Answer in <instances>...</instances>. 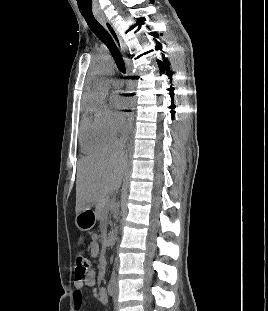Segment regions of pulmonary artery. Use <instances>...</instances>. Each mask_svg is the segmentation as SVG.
I'll list each match as a JSON object with an SVG mask.
<instances>
[{"label":"pulmonary artery","instance_id":"1","mask_svg":"<svg viewBox=\"0 0 268 311\" xmlns=\"http://www.w3.org/2000/svg\"><path fill=\"white\" fill-rule=\"evenodd\" d=\"M111 85H112L113 88L119 89V88L122 87L123 82H122V80H120V79H112V80H111Z\"/></svg>","mask_w":268,"mask_h":311}]
</instances>
